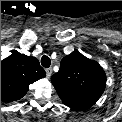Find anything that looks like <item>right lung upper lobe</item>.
Returning a JSON list of instances; mask_svg holds the SVG:
<instances>
[{
	"label": "right lung upper lobe",
	"mask_w": 122,
	"mask_h": 122,
	"mask_svg": "<svg viewBox=\"0 0 122 122\" xmlns=\"http://www.w3.org/2000/svg\"><path fill=\"white\" fill-rule=\"evenodd\" d=\"M45 76L37 58L14 51L1 61V100H19L25 96L31 83Z\"/></svg>",
	"instance_id": "obj_1"
}]
</instances>
